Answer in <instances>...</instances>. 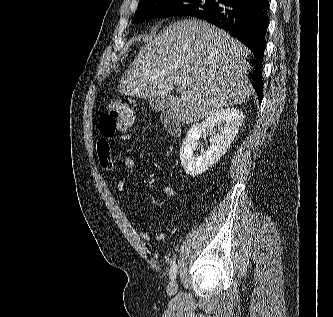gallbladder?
Wrapping results in <instances>:
<instances>
[{"instance_id":"bac80fb5","label":"gallbladder","mask_w":333,"mask_h":317,"mask_svg":"<svg viewBox=\"0 0 333 317\" xmlns=\"http://www.w3.org/2000/svg\"><path fill=\"white\" fill-rule=\"evenodd\" d=\"M171 98L169 96H157L149 100L151 107L156 111H163L169 107Z\"/></svg>"}]
</instances>
